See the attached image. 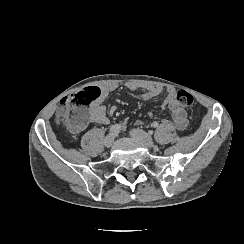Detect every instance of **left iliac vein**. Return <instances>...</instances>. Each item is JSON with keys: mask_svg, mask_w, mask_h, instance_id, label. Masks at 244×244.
<instances>
[{"mask_svg": "<svg viewBox=\"0 0 244 244\" xmlns=\"http://www.w3.org/2000/svg\"><path fill=\"white\" fill-rule=\"evenodd\" d=\"M131 136L137 140L138 142L142 143L144 146L148 148H152L154 146V141L152 137L140 129H133L131 130Z\"/></svg>", "mask_w": 244, "mask_h": 244, "instance_id": "left-iliac-vein-1", "label": "left iliac vein"}]
</instances>
